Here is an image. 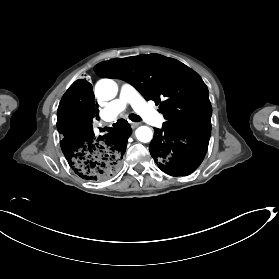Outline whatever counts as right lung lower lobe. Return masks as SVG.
Masks as SVG:
<instances>
[{
  "mask_svg": "<svg viewBox=\"0 0 279 279\" xmlns=\"http://www.w3.org/2000/svg\"><path fill=\"white\" fill-rule=\"evenodd\" d=\"M95 116L98 108L93 88L87 81L77 80L63 95L57 111L62 152L78 176L105 181L119 171L131 129L121 119L109 128V133L96 138L92 127Z\"/></svg>",
  "mask_w": 279,
  "mask_h": 279,
  "instance_id": "right-lung-lower-lobe-1",
  "label": "right lung lower lobe"
}]
</instances>
